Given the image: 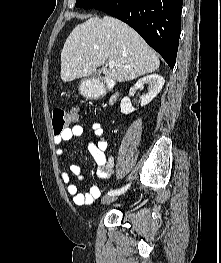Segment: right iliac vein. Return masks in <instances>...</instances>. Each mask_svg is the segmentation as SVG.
Segmentation results:
<instances>
[{
  "label": "right iliac vein",
  "mask_w": 221,
  "mask_h": 263,
  "mask_svg": "<svg viewBox=\"0 0 221 263\" xmlns=\"http://www.w3.org/2000/svg\"><path fill=\"white\" fill-rule=\"evenodd\" d=\"M116 199H117L116 195H108V196H105V197L102 198L101 203L103 205H108V204L116 201Z\"/></svg>",
  "instance_id": "1"
}]
</instances>
